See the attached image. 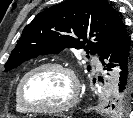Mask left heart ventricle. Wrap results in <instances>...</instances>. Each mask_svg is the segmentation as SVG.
<instances>
[{"instance_id":"1","label":"left heart ventricle","mask_w":133,"mask_h":118,"mask_svg":"<svg viewBox=\"0 0 133 118\" xmlns=\"http://www.w3.org/2000/svg\"><path fill=\"white\" fill-rule=\"evenodd\" d=\"M72 83L62 70L44 69L33 74L26 85V98L36 107H55L72 96Z\"/></svg>"}]
</instances>
